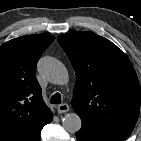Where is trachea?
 Here are the masks:
<instances>
[{"instance_id":"3493384b","label":"trachea","mask_w":141,"mask_h":141,"mask_svg":"<svg viewBox=\"0 0 141 141\" xmlns=\"http://www.w3.org/2000/svg\"><path fill=\"white\" fill-rule=\"evenodd\" d=\"M51 104H61V95L60 93H55L50 100Z\"/></svg>"}]
</instances>
